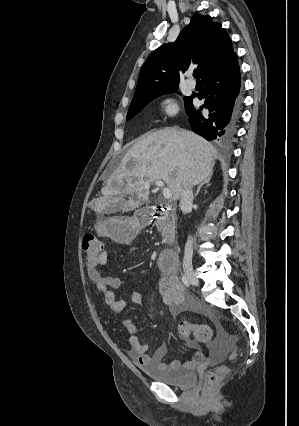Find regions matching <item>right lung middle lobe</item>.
Returning <instances> with one entry per match:
<instances>
[{
	"instance_id": "right-lung-middle-lobe-1",
	"label": "right lung middle lobe",
	"mask_w": 299,
	"mask_h": 426,
	"mask_svg": "<svg viewBox=\"0 0 299 426\" xmlns=\"http://www.w3.org/2000/svg\"><path fill=\"white\" fill-rule=\"evenodd\" d=\"M176 91H177V87H173L160 92L150 93V94L144 95L143 97L139 99L132 100L129 107V111L127 113L126 120L133 118L154 98L163 94L174 93ZM189 102H190V97H185V105H187Z\"/></svg>"
}]
</instances>
